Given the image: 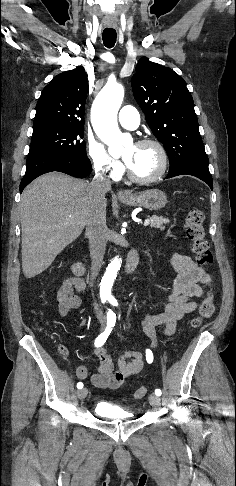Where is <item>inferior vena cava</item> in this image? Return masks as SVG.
Wrapping results in <instances>:
<instances>
[{
    "label": "inferior vena cava",
    "mask_w": 236,
    "mask_h": 486,
    "mask_svg": "<svg viewBox=\"0 0 236 486\" xmlns=\"http://www.w3.org/2000/svg\"><path fill=\"white\" fill-rule=\"evenodd\" d=\"M90 209L86 220V235L89 239L91 257V278L96 279L103 264L106 250V199L105 193L111 189V181L98 170L89 184ZM97 314H102L98 304L94 302Z\"/></svg>",
    "instance_id": "inferior-vena-cava-1"
}]
</instances>
